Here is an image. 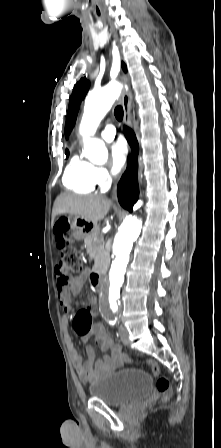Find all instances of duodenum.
I'll return each instance as SVG.
<instances>
[{"mask_svg": "<svg viewBox=\"0 0 221 448\" xmlns=\"http://www.w3.org/2000/svg\"><path fill=\"white\" fill-rule=\"evenodd\" d=\"M90 280L94 285H99L102 283V271L94 270L90 275Z\"/></svg>", "mask_w": 221, "mask_h": 448, "instance_id": "410a0bca", "label": "duodenum"}]
</instances>
